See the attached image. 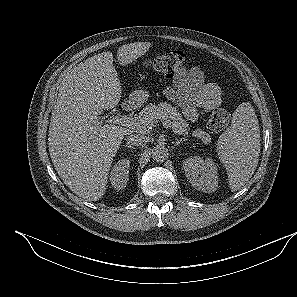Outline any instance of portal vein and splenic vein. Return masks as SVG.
Listing matches in <instances>:
<instances>
[{"mask_svg": "<svg viewBox=\"0 0 297 297\" xmlns=\"http://www.w3.org/2000/svg\"><path fill=\"white\" fill-rule=\"evenodd\" d=\"M108 122L113 124H121L129 128H143V122H140L138 119L129 116H116L109 119Z\"/></svg>", "mask_w": 297, "mask_h": 297, "instance_id": "portal-vein-and-splenic-vein-1", "label": "portal vein and splenic vein"}]
</instances>
